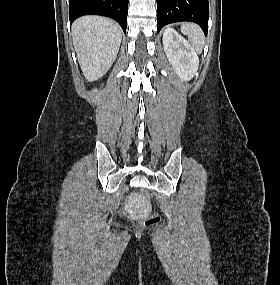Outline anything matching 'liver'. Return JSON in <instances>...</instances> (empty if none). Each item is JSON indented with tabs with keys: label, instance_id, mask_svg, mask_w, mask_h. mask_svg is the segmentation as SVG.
<instances>
[{
	"label": "liver",
	"instance_id": "1",
	"mask_svg": "<svg viewBox=\"0 0 280 285\" xmlns=\"http://www.w3.org/2000/svg\"><path fill=\"white\" fill-rule=\"evenodd\" d=\"M73 44L80 68L89 81L102 77L112 66L122 40L120 27L99 16H84L72 25Z\"/></svg>",
	"mask_w": 280,
	"mask_h": 285
}]
</instances>
